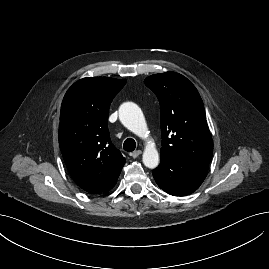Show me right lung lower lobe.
Listing matches in <instances>:
<instances>
[{
  "label": "right lung lower lobe",
  "mask_w": 269,
  "mask_h": 269,
  "mask_svg": "<svg viewBox=\"0 0 269 269\" xmlns=\"http://www.w3.org/2000/svg\"><path fill=\"white\" fill-rule=\"evenodd\" d=\"M115 183L111 187H109L107 190H105V191H109L110 189H112V187L115 185Z\"/></svg>",
  "instance_id": "98d812e1"
}]
</instances>
